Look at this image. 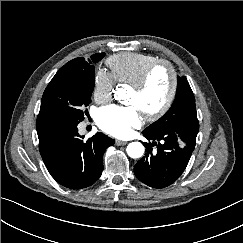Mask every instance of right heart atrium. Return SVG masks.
I'll return each instance as SVG.
<instances>
[{
	"mask_svg": "<svg viewBox=\"0 0 243 243\" xmlns=\"http://www.w3.org/2000/svg\"><path fill=\"white\" fill-rule=\"evenodd\" d=\"M114 86L115 80L108 71L99 69L95 72L93 79V96L95 100H107L111 96Z\"/></svg>",
	"mask_w": 243,
	"mask_h": 243,
	"instance_id": "d8ad5b80",
	"label": "right heart atrium"
}]
</instances>
